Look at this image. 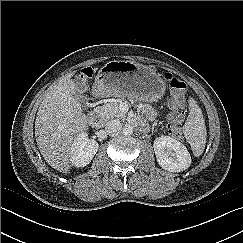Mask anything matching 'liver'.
<instances>
[{
    "instance_id": "1",
    "label": "liver",
    "mask_w": 243,
    "mask_h": 243,
    "mask_svg": "<svg viewBox=\"0 0 243 243\" xmlns=\"http://www.w3.org/2000/svg\"><path fill=\"white\" fill-rule=\"evenodd\" d=\"M73 74H67L50 86L35 120L36 142L43 158L62 173L71 168L70 151L74 138L88 129L87 117L70 89Z\"/></svg>"
}]
</instances>
